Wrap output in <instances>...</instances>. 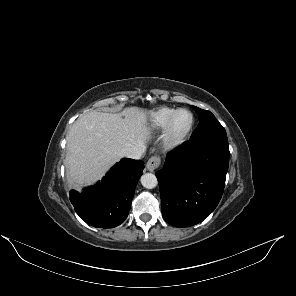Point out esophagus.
I'll return each mask as SVG.
<instances>
[{
    "label": "esophagus",
    "mask_w": 296,
    "mask_h": 296,
    "mask_svg": "<svg viewBox=\"0 0 296 296\" xmlns=\"http://www.w3.org/2000/svg\"><path fill=\"white\" fill-rule=\"evenodd\" d=\"M160 163V158L158 156H153L148 160L146 168L148 171L154 172L159 167Z\"/></svg>",
    "instance_id": "esophagus-1"
}]
</instances>
